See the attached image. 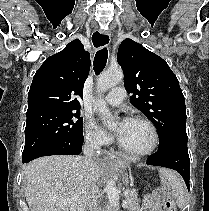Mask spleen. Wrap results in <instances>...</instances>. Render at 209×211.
<instances>
[{
	"label": "spleen",
	"mask_w": 209,
	"mask_h": 211,
	"mask_svg": "<svg viewBox=\"0 0 209 211\" xmlns=\"http://www.w3.org/2000/svg\"><path fill=\"white\" fill-rule=\"evenodd\" d=\"M159 172L163 177L168 180L173 190L176 203L180 208H182L185 204L186 199V187L181 177L175 172L165 168H161Z\"/></svg>",
	"instance_id": "1"
}]
</instances>
